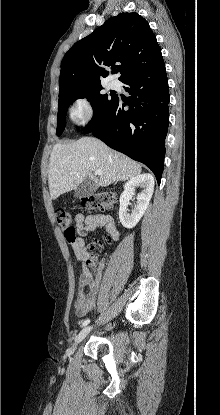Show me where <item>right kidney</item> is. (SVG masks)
<instances>
[{
	"mask_svg": "<svg viewBox=\"0 0 220 415\" xmlns=\"http://www.w3.org/2000/svg\"><path fill=\"white\" fill-rule=\"evenodd\" d=\"M137 186L143 187L144 190L137 195V204L134 206V209L131 211V213H129V200L133 195H135V188ZM153 191L154 178L150 174H141L131 178L128 182H126L124 191L120 196L119 209V219L125 228L131 229L135 227L136 224L140 221L149 205Z\"/></svg>",
	"mask_w": 220,
	"mask_h": 415,
	"instance_id": "obj_1",
	"label": "right kidney"
}]
</instances>
